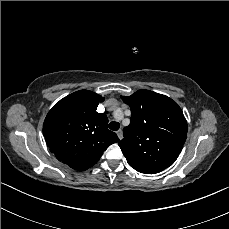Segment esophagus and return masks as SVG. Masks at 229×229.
I'll use <instances>...</instances> for the list:
<instances>
[{
  "label": "esophagus",
  "instance_id": "1",
  "mask_svg": "<svg viewBox=\"0 0 229 229\" xmlns=\"http://www.w3.org/2000/svg\"><path fill=\"white\" fill-rule=\"evenodd\" d=\"M116 134H117V136H118V138L120 139V140H122L123 139V132H122V130L120 129V130H118L117 132H116Z\"/></svg>",
  "mask_w": 229,
  "mask_h": 229
}]
</instances>
